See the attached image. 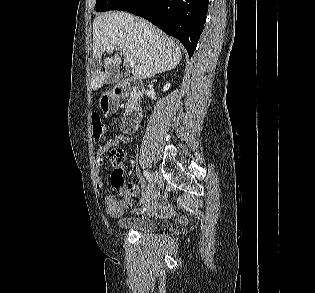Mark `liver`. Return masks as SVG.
Instances as JSON below:
<instances>
[{
  "instance_id": "obj_1",
  "label": "liver",
  "mask_w": 315,
  "mask_h": 293,
  "mask_svg": "<svg viewBox=\"0 0 315 293\" xmlns=\"http://www.w3.org/2000/svg\"><path fill=\"white\" fill-rule=\"evenodd\" d=\"M111 44H116L114 56L104 72L92 77L93 90L108 80L112 65L121 63L122 51L134 59L132 73L136 79L172 70L182 58L174 39L148 21L125 12L104 13L93 22V59L100 61Z\"/></svg>"
}]
</instances>
